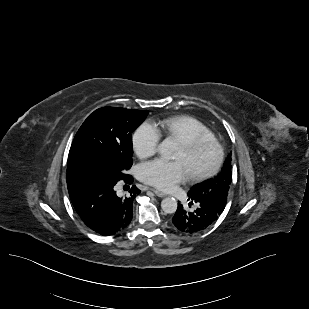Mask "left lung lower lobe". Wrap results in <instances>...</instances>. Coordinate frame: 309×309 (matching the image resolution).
I'll list each match as a JSON object with an SVG mask.
<instances>
[{"label":"left lung lower lobe","mask_w":309,"mask_h":309,"mask_svg":"<svg viewBox=\"0 0 309 309\" xmlns=\"http://www.w3.org/2000/svg\"><path fill=\"white\" fill-rule=\"evenodd\" d=\"M188 200L196 202V209L187 211L178 204L172 218L174 227L183 234H197L211 227L223 212L226 203L201 199L188 194ZM193 202H191L193 204Z\"/></svg>","instance_id":"left-lung-lower-lobe-1"}]
</instances>
